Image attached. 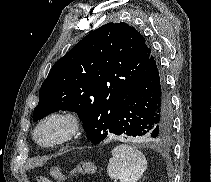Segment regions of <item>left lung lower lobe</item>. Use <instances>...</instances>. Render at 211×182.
Wrapping results in <instances>:
<instances>
[{"mask_svg":"<svg viewBox=\"0 0 211 182\" xmlns=\"http://www.w3.org/2000/svg\"><path fill=\"white\" fill-rule=\"evenodd\" d=\"M172 125V107L164 75L151 55L137 86L115 116L111 133L152 140L167 135Z\"/></svg>","mask_w":211,"mask_h":182,"instance_id":"0a47b994","label":"left lung lower lobe"}]
</instances>
